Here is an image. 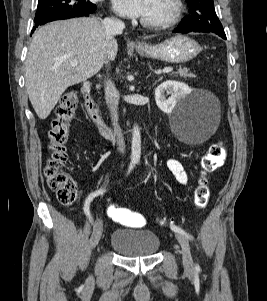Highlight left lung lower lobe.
<instances>
[{
  "instance_id": "1",
  "label": "left lung lower lobe",
  "mask_w": 267,
  "mask_h": 301,
  "mask_svg": "<svg viewBox=\"0 0 267 301\" xmlns=\"http://www.w3.org/2000/svg\"><path fill=\"white\" fill-rule=\"evenodd\" d=\"M175 32H181V33H189V32H208L206 30H202V29H196V28H189V27H182L179 26L178 28H176L174 30ZM220 37H222L223 39H226V35L225 34H217Z\"/></svg>"
}]
</instances>
